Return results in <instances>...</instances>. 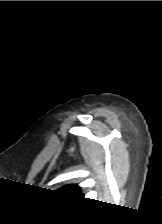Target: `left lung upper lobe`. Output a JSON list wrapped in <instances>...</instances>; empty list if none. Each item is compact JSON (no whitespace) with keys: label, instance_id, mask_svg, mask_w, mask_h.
<instances>
[{"label":"left lung upper lobe","instance_id":"left-lung-upper-lobe-1","mask_svg":"<svg viewBox=\"0 0 162 224\" xmlns=\"http://www.w3.org/2000/svg\"><path fill=\"white\" fill-rule=\"evenodd\" d=\"M58 192L67 194L70 196L83 197L80 193V187L77 185H68L58 190Z\"/></svg>","mask_w":162,"mask_h":224}]
</instances>
